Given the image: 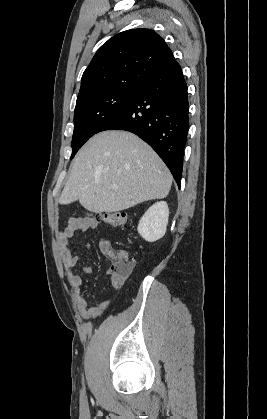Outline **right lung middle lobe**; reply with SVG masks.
<instances>
[{"mask_svg":"<svg viewBox=\"0 0 267 419\" xmlns=\"http://www.w3.org/2000/svg\"><path fill=\"white\" fill-rule=\"evenodd\" d=\"M140 85L103 91L76 102L72 155L94 134L110 122L139 90Z\"/></svg>","mask_w":267,"mask_h":419,"instance_id":"dd1d6c3e","label":"right lung middle lobe"}]
</instances>
